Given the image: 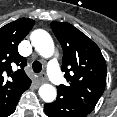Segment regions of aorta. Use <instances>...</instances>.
I'll return each mask as SVG.
<instances>
[{
	"label": "aorta",
	"instance_id": "aorta-1",
	"mask_svg": "<svg viewBox=\"0 0 117 117\" xmlns=\"http://www.w3.org/2000/svg\"><path fill=\"white\" fill-rule=\"evenodd\" d=\"M31 43L35 50L43 57L49 58L54 53V42L48 32L42 29L34 30L30 36ZM39 95L45 102H53L56 99L57 91L51 84H43L39 88Z\"/></svg>",
	"mask_w": 117,
	"mask_h": 117
}]
</instances>
